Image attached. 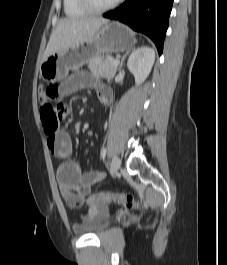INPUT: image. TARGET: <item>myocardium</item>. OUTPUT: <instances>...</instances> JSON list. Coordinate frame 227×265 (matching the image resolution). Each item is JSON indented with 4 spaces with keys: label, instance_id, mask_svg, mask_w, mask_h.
I'll return each mask as SVG.
<instances>
[{
    "label": "myocardium",
    "instance_id": "1",
    "mask_svg": "<svg viewBox=\"0 0 227 265\" xmlns=\"http://www.w3.org/2000/svg\"><path fill=\"white\" fill-rule=\"evenodd\" d=\"M80 5L87 10L89 13H104L107 12L113 8H115L122 0H114L113 2H111L110 4L106 5V6H96L92 0H78Z\"/></svg>",
    "mask_w": 227,
    "mask_h": 265
}]
</instances>
